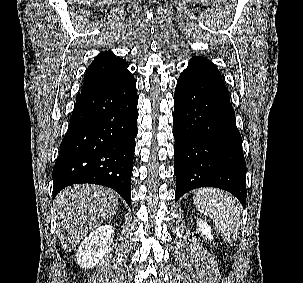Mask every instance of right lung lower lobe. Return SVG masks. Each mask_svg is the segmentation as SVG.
Returning <instances> with one entry per match:
<instances>
[{
    "label": "right lung lower lobe",
    "mask_w": 303,
    "mask_h": 283,
    "mask_svg": "<svg viewBox=\"0 0 303 283\" xmlns=\"http://www.w3.org/2000/svg\"><path fill=\"white\" fill-rule=\"evenodd\" d=\"M137 103L131 73L79 94L53 168L54 196L92 183L114 189L130 205Z\"/></svg>",
    "instance_id": "1"
}]
</instances>
